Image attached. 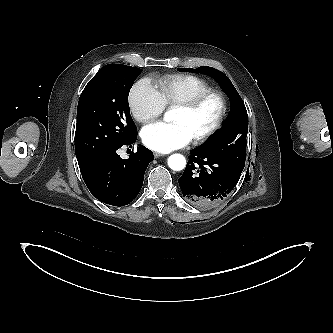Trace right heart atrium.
Instances as JSON below:
<instances>
[{
  "mask_svg": "<svg viewBox=\"0 0 333 333\" xmlns=\"http://www.w3.org/2000/svg\"><path fill=\"white\" fill-rule=\"evenodd\" d=\"M128 104L133 118L140 123L157 118L165 109L158 90L147 79L139 80L132 87Z\"/></svg>",
  "mask_w": 333,
  "mask_h": 333,
  "instance_id": "right-heart-atrium-1",
  "label": "right heart atrium"
}]
</instances>
